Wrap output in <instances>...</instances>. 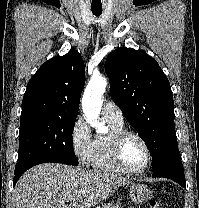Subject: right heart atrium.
Listing matches in <instances>:
<instances>
[{
  "mask_svg": "<svg viewBox=\"0 0 199 208\" xmlns=\"http://www.w3.org/2000/svg\"><path fill=\"white\" fill-rule=\"evenodd\" d=\"M70 141L74 155L82 165H87L91 161L94 140L91 129L86 120L79 116L73 122L70 131Z\"/></svg>",
  "mask_w": 199,
  "mask_h": 208,
  "instance_id": "right-heart-atrium-1",
  "label": "right heart atrium"
}]
</instances>
